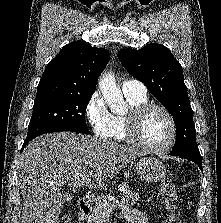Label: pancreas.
<instances>
[{
  "mask_svg": "<svg viewBox=\"0 0 221 223\" xmlns=\"http://www.w3.org/2000/svg\"><path fill=\"white\" fill-rule=\"evenodd\" d=\"M124 190L120 195V208L133 206L139 196L130 191L127 183H123ZM115 203L110 199V196H105L102 200L96 203L90 218L87 223H108L109 216L115 208Z\"/></svg>",
  "mask_w": 221,
  "mask_h": 223,
  "instance_id": "cf45deb5",
  "label": "pancreas"
}]
</instances>
